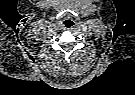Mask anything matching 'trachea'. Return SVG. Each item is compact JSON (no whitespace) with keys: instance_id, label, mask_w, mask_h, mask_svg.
<instances>
[{"instance_id":"1","label":"trachea","mask_w":135,"mask_h":95,"mask_svg":"<svg viewBox=\"0 0 135 95\" xmlns=\"http://www.w3.org/2000/svg\"><path fill=\"white\" fill-rule=\"evenodd\" d=\"M66 22H70V23H73L72 21H65L64 23L66 24V26L68 27L67 23ZM74 24V23H73ZM73 24H71L70 26H72ZM69 26V27H70Z\"/></svg>"}]
</instances>
